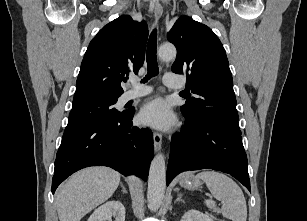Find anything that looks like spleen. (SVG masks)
<instances>
[{
	"mask_svg": "<svg viewBox=\"0 0 307 221\" xmlns=\"http://www.w3.org/2000/svg\"><path fill=\"white\" fill-rule=\"evenodd\" d=\"M197 177L204 180L213 197L221 201V213L225 218L232 221H246V200L234 180L216 171H202ZM205 204L208 208H216L213 200H206Z\"/></svg>",
	"mask_w": 307,
	"mask_h": 221,
	"instance_id": "obj_1",
	"label": "spleen"
}]
</instances>
